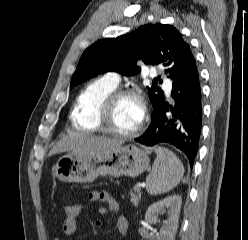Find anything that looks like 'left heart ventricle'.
<instances>
[{"label": "left heart ventricle", "instance_id": "1", "mask_svg": "<svg viewBox=\"0 0 248 240\" xmlns=\"http://www.w3.org/2000/svg\"><path fill=\"white\" fill-rule=\"evenodd\" d=\"M142 115L140 102L133 97H124L115 105L110 114V125L112 128L129 132L137 127Z\"/></svg>", "mask_w": 248, "mask_h": 240}]
</instances>
